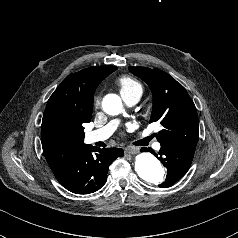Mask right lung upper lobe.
Instances as JSON below:
<instances>
[{
    "mask_svg": "<svg viewBox=\"0 0 238 238\" xmlns=\"http://www.w3.org/2000/svg\"><path fill=\"white\" fill-rule=\"evenodd\" d=\"M116 69L115 66H95L72 73L49 98L41 125V142L53 172L89 146L83 142V124L91 120L95 89Z\"/></svg>",
    "mask_w": 238,
    "mask_h": 238,
    "instance_id": "1",
    "label": "right lung upper lobe"
}]
</instances>
